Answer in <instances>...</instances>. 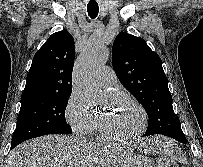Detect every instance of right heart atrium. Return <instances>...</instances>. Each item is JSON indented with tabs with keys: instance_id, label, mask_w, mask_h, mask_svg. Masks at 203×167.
I'll list each match as a JSON object with an SVG mask.
<instances>
[{
	"instance_id": "right-heart-atrium-1",
	"label": "right heart atrium",
	"mask_w": 203,
	"mask_h": 167,
	"mask_svg": "<svg viewBox=\"0 0 203 167\" xmlns=\"http://www.w3.org/2000/svg\"><path fill=\"white\" fill-rule=\"evenodd\" d=\"M64 116L72 131L79 135H88L97 128V119L76 93L67 99Z\"/></svg>"
}]
</instances>
